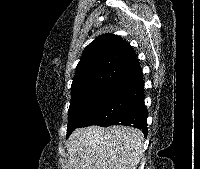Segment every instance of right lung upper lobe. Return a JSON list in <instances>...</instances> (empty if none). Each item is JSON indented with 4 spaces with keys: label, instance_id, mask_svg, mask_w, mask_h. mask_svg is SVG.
<instances>
[{
    "label": "right lung upper lobe",
    "instance_id": "obj_1",
    "mask_svg": "<svg viewBox=\"0 0 200 169\" xmlns=\"http://www.w3.org/2000/svg\"><path fill=\"white\" fill-rule=\"evenodd\" d=\"M142 74L133 48L120 36L103 34L84 50L73 79L72 95L101 82L120 83Z\"/></svg>",
    "mask_w": 200,
    "mask_h": 169
}]
</instances>
